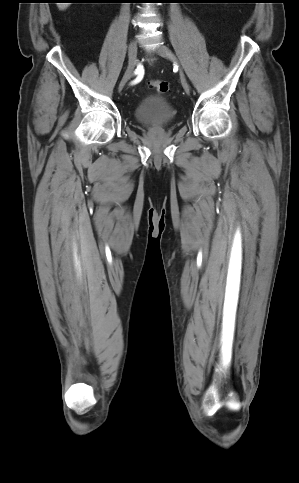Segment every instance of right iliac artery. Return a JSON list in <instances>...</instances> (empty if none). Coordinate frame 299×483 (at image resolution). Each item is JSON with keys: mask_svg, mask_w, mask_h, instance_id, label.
Returning <instances> with one entry per match:
<instances>
[{"mask_svg": "<svg viewBox=\"0 0 299 483\" xmlns=\"http://www.w3.org/2000/svg\"><path fill=\"white\" fill-rule=\"evenodd\" d=\"M141 70H142V66H138V67H137V69H136V72H137V73H140V72H141ZM138 81H139V79L137 78V79L134 81V83H136V82H138Z\"/></svg>", "mask_w": 299, "mask_h": 483, "instance_id": "right-iliac-artery-1", "label": "right iliac artery"}]
</instances>
